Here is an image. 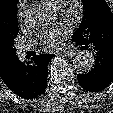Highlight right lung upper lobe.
<instances>
[{
    "instance_id": "obj_1",
    "label": "right lung upper lobe",
    "mask_w": 113,
    "mask_h": 113,
    "mask_svg": "<svg viewBox=\"0 0 113 113\" xmlns=\"http://www.w3.org/2000/svg\"><path fill=\"white\" fill-rule=\"evenodd\" d=\"M17 0H0V77L4 81L16 60L14 39L17 25Z\"/></svg>"
}]
</instances>
